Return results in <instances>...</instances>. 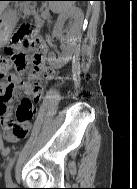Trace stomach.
<instances>
[{
  "label": "stomach",
  "instance_id": "1",
  "mask_svg": "<svg viewBox=\"0 0 137 189\" xmlns=\"http://www.w3.org/2000/svg\"><path fill=\"white\" fill-rule=\"evenodd\" d=\"M15 18L16 13L13 10L5 11L0 15V36L8 35L11 32L15 24Z\"/></svg>",
  "mask_w": 137,
  "mask_h": 189
}]
</instances>
